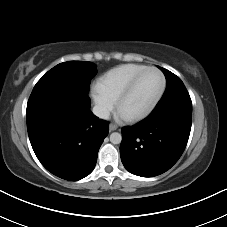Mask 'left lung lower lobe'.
<instances>
[{
  "mask_svg": "<svg viewBox=\"0 0 227 227\" xmlns=\"http://www.w3.org/2000/svg\"><path fill=\"white\" fill-rule=\"evenodd\" d=\"M192 106L155 108L143 121L122 129L120 156L124 167L142 177L169 170L181 157L191 130Z\"/></svg>",
  "mask_w": 227,
  "mask_h": 227,
  "instance_id": "left-lung-lower-lobe-1",
  "label": "left lung lower lobe"
}]
</instances>
